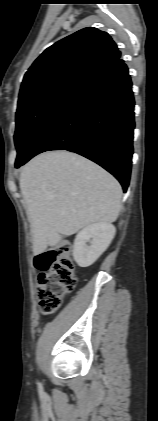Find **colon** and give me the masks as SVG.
<instances>
[{"mask_svg":"<svg viewBox=\"0 0 158 421\" xmlns=\"http://www.w3.org/2000/svg\"><path fill=\"white\" fill-rule=\"evenodd\" d=\"M70 251L71 246L62 243L35 257L36 268L40 271L36 295L44 314L55 312L63 298L76 286L77 277Z\"/></svg>","mask_w":158,"mask_h":421,"instance_id":"5ec220e1","label":"colon"}]
</instances>
